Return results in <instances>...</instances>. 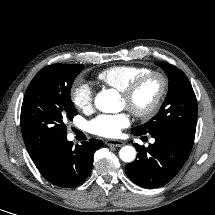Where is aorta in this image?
<instances>
[{
    "instance_id": "obj_1",
    "label": "aorta",
    "mask_w": 215,
    "mask_h": 215,
    "mask_svg": "<svg viewBox=\"0 0 215 215\" xmlns=\"http://www.w3.org/2000/svg\"><path fill=\"white\" fill-rule=\"evenodd\" d=\"M119 93L114 89L101 91L95 98V106L102 112H118ZM120 158L124 162H132L136 157V150L133 146H124L120 150Z\"/></svg>"
}]
</instances>
